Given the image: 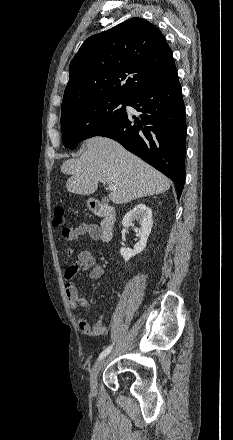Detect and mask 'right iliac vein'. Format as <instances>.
Segmentation results:
<instances>
[{
	"label": "right iliac vein",
	"instance_id": "1",
	"mask_svg": "<svg viewBox=\"0 0 233 440\" xmlns=\"http://www.w3.org/2000/svg\"><path fill=\"white\" fill-rule=\"evenodd\" d=\"M106 362L105 358L99 359L93 366L90 374V389L91 393L95 395L97 393V376Z\"/></svg>",
	"mask_w": 233,
	"mask_h": 440
}]
</instances>
